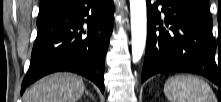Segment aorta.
<instances>
[{"mask_svg": "<svg viewBox=\"0 0 221 102\" xmlns=\"http://www.w3.org/2000/svg\"><path fill=\"white\" fill-rule=\"evenodd\" d=\"M130 11L132 59L136 63L141 59L146 44V0H130Z\"/></svg>", "mask_w": 221, "mask_h": 102, "instance_id": "1", "label": "aorta"}]
</instances>
